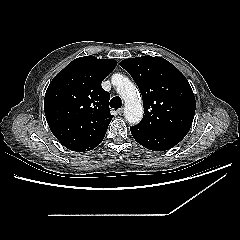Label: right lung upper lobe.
<instances>
[{
    "mask_svg": "<svg viewBox=\"0 0 240 240\" xmlns=\"http://www.w3.org/2000/svg\"><path fill=\"white\" fill-rule=\"evenodd\" d=\"M116 65L113 59L80 57L50 82L44 112L52 133L66 148L85 152L102 142L113 116L110 94L101 83Z\"/></svg>",
    "mask_w": 240,
    "mask_h": 240,
    "instance_id": "cb5924a9",
    "label": "right lung upper lobe"
}]
</instances>
